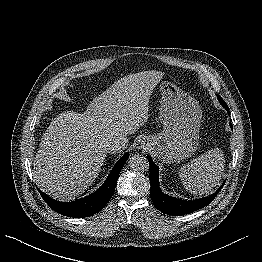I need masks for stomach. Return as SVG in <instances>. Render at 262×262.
Masks as SVG:
<instances>
[{
	"instance_id": "0dacf381",
	"label": "stomach",
	"mask_w": 262,
	"mask_h": 262,
	"mask_svg": "<svg viewBox=\"0 0 262 262\" xmlns=\"http://www.w3.org/2000/svg\"><path fill=\"white\" fill-rule=\"evenodd\" d=\"M160 119L163 131L144 137L142 147L153 150L163 163H174L191 157L199 143L202 111L198 102L175 84L163 81Z\"/></svg>"
}]
</instances>
